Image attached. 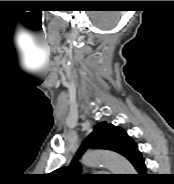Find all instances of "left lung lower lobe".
<instances>
[{
	"instance_id": "1",
	"label": "left lung lower lobe",
	"mask_w": 174,
	"mask_h": 184,
	"mask_svg": "<svg viewBox=\"0 0 174 184\" xmlns=\"http://www.w3.org/2000/svg\"><path fill=\"white\" fill-rule=\"evenodd\" d=\"M137 170L138 177H146V166L144 164V159L142 158L141 152L138 150L136 143L129 149L125 156Z\"/></svg>"
}]
</instances>
